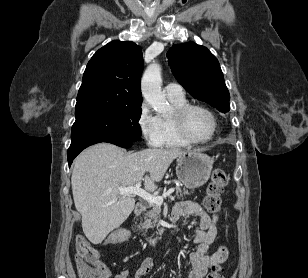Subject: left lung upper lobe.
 Here are the masks:
<instances>
[{
  "instance_id": "5c2ea615",
  "label": "left lung upper lobe",
  "mask_w": 308,
  "mask_h": 278,
  "mask_svg": "<svg viewBox=\"0 0 308 278\" xmlns=\"http://www.w3.org/2000/svg\"><path fill=\"white\" fill-rule=\"evenodd\" d=\"M168 64L177 81L196 99L220 112L230 110L229 91L216 57L194 42L173 45L167 52Z\"/></svg>"
}]
</instances>
